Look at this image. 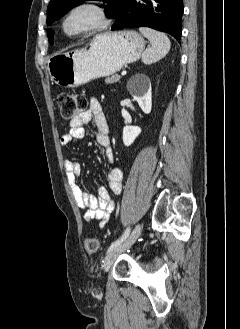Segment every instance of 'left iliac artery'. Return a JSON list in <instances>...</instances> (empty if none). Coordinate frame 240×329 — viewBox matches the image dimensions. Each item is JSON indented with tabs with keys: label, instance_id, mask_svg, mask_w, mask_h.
Returning a JSON list of instances; mask_svg holds the SVG:
<instances>
[{
	"label": "left iliac artery",
	"instance_id": "left-iliac-artery-1",
	"mask_svg": "<svg viewBox=\"0 0 240 329\" xmlns=\"http://www.w3.org/2000/svg\"><path fill=\"white\" fill-rule=\"evenodd\" d=\"M130 234V227H128L125 232L123 233V235L117 239L115 242H113L110 247L108 248V252L116 249Z\"/></svg>",
	"mask_w": 240,
	"mask_h": 329
}]
</instances>
